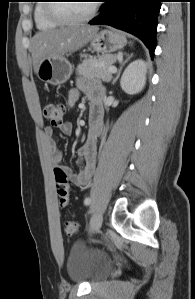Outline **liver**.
I'll list each match as a JSON object with an SVG mask.
<instances>
[{
    "mask_svg": "<svg viewBox=\"0 0 195 299\" xmlns=\"http://www.w3.org/2000/svg\"><path fill=\"white\" fill-rule=\"evenodd\" d=\"M98 32L95 26H70L34 35L31 44L34 72L45 58L57 57L82 48Z\"/></svg>",
    "mask_w": 195,
    "mask_h": 299,
    "instance_id": "6515ba94",
    "label": "liver"
}]
</instances>
